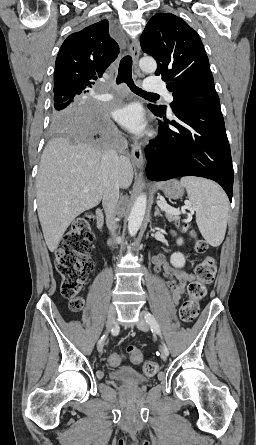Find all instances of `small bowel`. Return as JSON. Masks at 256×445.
Returning <instances> with one entry per match:
<instances>
[{"label": "small bowel", "instance_id": "small-bowel-1", "mask_svg": "<svg viewBox=\"0 0 256 445\" xmlns=\"http://www.w3.org/2000/svg\"><path fill=\"white\" fill-rule=\"evenodd\" d=\"M153 264L156 268L162 266L165 276L164 283L172 298L174 304H177L185 292L188 282L194 279L192 273L185 272L173 268L165 259L163 254H159L153 258Z\"/></svg>", "mask_w": 256, "mask_h": 445}]
</instances>
